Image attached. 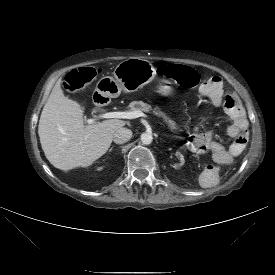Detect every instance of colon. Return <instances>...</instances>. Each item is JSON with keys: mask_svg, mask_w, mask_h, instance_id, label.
<instances>
[{"mask_svg": "<svg viewBox=\"0 0 275 275\" xmlns=\"http://www.w3.org/2000/svg\"><path fill=\"white\" fill-rule=\"evenodd\" d=\"M160 72L166 77L175 80L179 86L183 88L193 89L200 85V76L192 68L179 64H170L160 68ZM96 76V71L90 67H83L67 74L64 80V89L74 93L84 89L93 78ZM233 104V97L226 94L224 97V106L226 109ZM248 142V131L243 130L239 133L236 139L231 143L229 151L233 154L241 153ZM219 181V180H218ZM218 181L216 183H218Z\"/></svg>", "mask_w": 275, "mask_h": 275, "instance_id": "obj_1", "label": "colon"}]
</instances>
